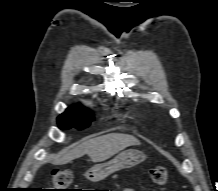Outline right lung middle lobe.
<instances>
[{"label": "right lung middle lobe", "instance_id": "right-lung-middle-lobe-1", "mask_svg": "<svg viewBox=\"0 0 218 191\" xmlns=\"http://www.w3.org/2000/svg\"><path fill=\"white\" fill-rule=\"evenodd\" d=\"M94 117L90 110L83 108L81 105L70 106L63 114H61L57 121L61 130L70 128L83 129L89 126L90 121Z\"/></svg>", "mask_w": 218, "mask_h": 191}]
</instances>
